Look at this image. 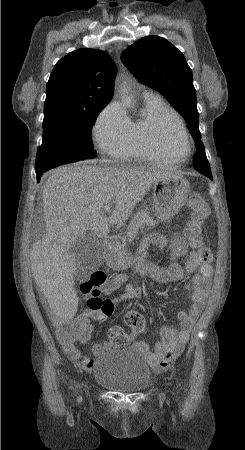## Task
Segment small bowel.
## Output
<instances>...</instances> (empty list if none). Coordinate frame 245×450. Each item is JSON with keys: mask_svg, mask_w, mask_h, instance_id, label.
I'll return each instance as SVG.
<instances>
[{"mask_svg": "<svg viewBox=\"0 0 245 450\" xmlns=\"http://www.w3.org/2000/svg\"><path fill=\"white\" fill-rule=\"evenodd\" d=\"M146 242L151 246L164 247L168 243H170L171 246L172 262L168 267H150L144 269V271H146V273L156 282L164 285L179 280L183 276L184 270L193 274L192 281L186 286V289L190 292V308L188 311H180L177 314V318L180 321L179 329L164 328L162 330L163 340L155 345L154 350H151L149 344L143 340H133L130 343L133 348L137 349L145 357L151 369L155 372H163L169 369L181 355L194 323L203 309L205 299L209 292L210 281L214 275L212 267L213 259L211 262L206 263L199 258L197 252H188L186 241L178 233H174L169 238L161 233H152L147 236ZM186 255H188V259L185 265L182 266L180 260ZM121 286L123 288L121 294L113 301L106 302L104 309L96 311L89 305V307L77 317L65 319L84 321L89 325V331L81 341L86 342L90 338V320L100 323L110 317L113 302L141 298L146 294L144 289L131 284L123 285L122 282H119L112 291L119 289ZM56 337L62 344L65 352L77 365L86 370L91 369L92 359L82 354L76 346V341H63L59 337L57 331ZM115 346L117 345H115L110 337H108L106 340L95 342L92 345L91 350L94 355H100Z\"/></svg>", "mask_w": 245, "mask_h": 450, "instance_id": "1", "label": "small bowel"}]
</instances>
